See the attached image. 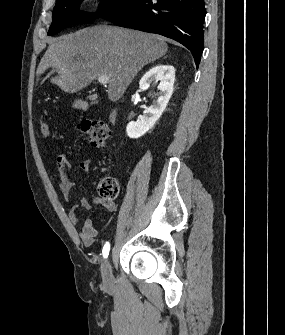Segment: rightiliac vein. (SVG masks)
Returning a JSON list of instances; mask_svg holds the SVG:
<instances>
[{
    "label": "right iliac vein",
    "instance_id": "right-iliac-vein-1",
    "mask_svg": "<svg viewBox=\"0 0 285 335\" xmlns=\"http://www.w3.org/2000/svg\"><path fill=\"white\" fill-rule=\"evenodd\" d=\"M103 283L106 286H111L113 284V276L111 271V264L109 261H106V264L102 270Z\"/></svg>",
    "mask_w": 285,
    "mask_h": 335
}]
</instances>
